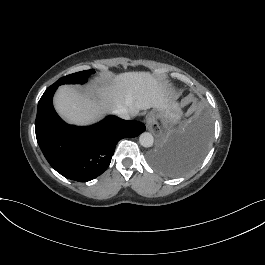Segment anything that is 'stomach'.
Here are the masks:
<instances>
[{
  "label": "stomach",
  "instance_id": "0dacf381",
  "mask_svg": "<svg viewBox=\"0 0 265 265\" xmlns=\"http://www.w3.org/2000/svg\"><path fill=\"white\" fill-rule=\"evenodd\" d=\"M152 115L155 118H161L164 125L172 126L179 122L182 112L177 107H173L167 111L156 110Z\"/></svg>",
  "mask_w": 265,
  "mask_h": 265
}]
</instances>
